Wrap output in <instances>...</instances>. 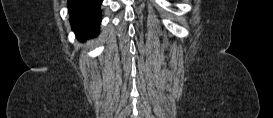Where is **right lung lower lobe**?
I'll list each match as a JSON object with an SVG mask.
<instances>
[{
    "label": "right lung lower lobe",
    "mask_w": 273,
    "mask_h": 118,
    "mask_svg": "<svg viewBox=\"0 0 273 118\" xmlns=\"http://www.w3.org/2000/svg\"><path fill=\"white\" fill-rule=\"evenodd\" d=\"M102 0H68L72 30L80 41L96 37L101 23Z\"/></svg>",
    "instance_id": "obj_1"
}]
</instances>
